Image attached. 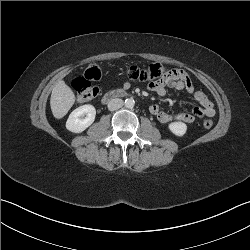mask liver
Instances as JSON below:
<instances>
[{"instance_id": "liver-1", "label": "liver", "mask_w": 250, "mask_h": 250, "mask_svg": "<svg viewBox=\"0 0 250 250\" xmlns=\"http://www.w3.org/2000/svg\"><path fill=\"white\" fill-rule=\"evenodd\" d=\"M75 102V94L71 88L60 80L52 89L50 106L55 118H63Z\"/></svg>"}]
</instances>
